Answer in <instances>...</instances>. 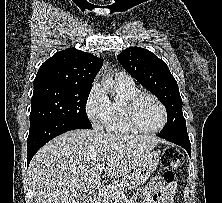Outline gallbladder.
<instances>
[{
  "label": "gallbladder",
  "mask_w": 222,
  "mask_h": 203,
  "mask_svg": "<svg viewBox=\"0 0 222 203\" xmlns=\"http://www.w3.org/2000/svg\"><path fill=\"white\" fill-rule=\"evenodd\" d=\"M83 203H89L87 197L84 199Z\"/></svg>",
  "instance_id": "bac80fb5"
}]
</instances>
